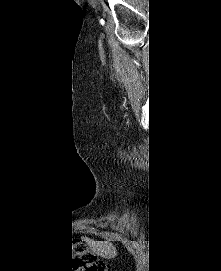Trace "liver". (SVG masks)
<instances>
[{"instance_id": "obj_1", "label": "liver", "mask_w": 221, "mask_h": 271, "mask_svg": "<svg viewBox=\"0 0 221 271\" xmlns=\"http://www.w3.org/2000/svg\"><path fill=\"white\" fill-rule=\"evenodd\" d=\"M89 245L90 249H93L101 257H116L118 253L115 245L109 243V241H94V239H90Z\"/></svg>"}]
</instances>
